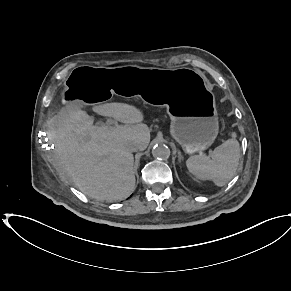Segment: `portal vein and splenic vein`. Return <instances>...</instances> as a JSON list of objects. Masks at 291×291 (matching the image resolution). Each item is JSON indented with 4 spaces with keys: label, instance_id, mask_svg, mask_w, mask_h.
Segmentation results:
<instances>
[{
    "label": "portal vein and splenic vein",
    "instance_id": "18ae733b",
    "mask_svg": "<svg viewBox=\"0 0 291 291\" xmlns=\"http://www.w3.org/2000/svg\"><path fill=\"white\" fill-rule=\"evenodd\" d=\"M107 123H108V124H111V120H108Z\"/></svg>",
    "mask_w": 291,
    "mask_h": 291
}]
</instances>
